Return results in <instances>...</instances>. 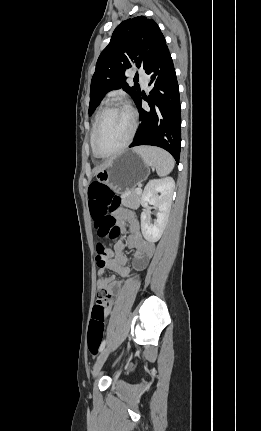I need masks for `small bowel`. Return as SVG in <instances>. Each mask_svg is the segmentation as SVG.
<instances>
[{"instance_id":"c3829d8e","label":"small bowel","mask_w":261,"mask_h":431,"mask_svg":"<svg viewBox=\"0 0 261 431\" xmlns=\"http://www.w3.org/2000/svg\"><path fill=\"white\" fill-rule=\"evenodd\" d=\"M118 220L121 225L128 224L129 235L126 244L129 248L133 249L134 260L133 268L136 271H141L146 268L151 257L154 253V244L145 240L140 231V224L138 217L130 210H121L117 214ZM124 245L121 241L114 244V257L108 260L104 265H98V280L97 287L100 290L106 291L111 296H119L122 292V282L117 281L113 276H105V271L110 270L119 275L120 277H127L130 269L127 266V259L123 252ZM114 302L105 304L104 318L106 319L113 307Z\"/></svg>"}]
</instances>
